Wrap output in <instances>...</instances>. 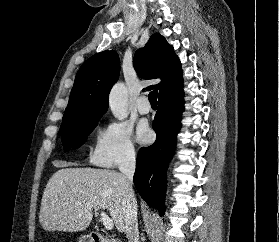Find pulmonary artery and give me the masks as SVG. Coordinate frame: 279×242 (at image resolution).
<instances>
[{
    "label": "pulmonary artery",
    "instance_id": "e3ab8cb5",
    "mask_svg": "<svg viewBox=\"0 0 279 242\" xmlns=\"http://www.w3.org/2000/svg\"><path fill=\"white\" fill-rule=\"evenodd\" d=\"M150 105L145 96H141L137 101V110L140 114H147L150 112Z\"/></svg>",
    "mask_w": 279,
    "mask_h": 242
}]
</instances>
